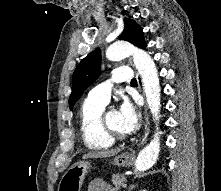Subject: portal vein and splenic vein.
<instances>
[{"label":"portal vein and splenic vein","instance_id":"1","mask_svg":"<svg viewBox=\"0 0 221 191\" xmlns=\"http://www.w3.org/2000/svg\"><path fill=\"white\" fill-rule=\"evenodd\" d=\"M127 185L126 184H123V187H126Z\"/></svg>","mask_w":221,"mask_h":191}]
</instances>
